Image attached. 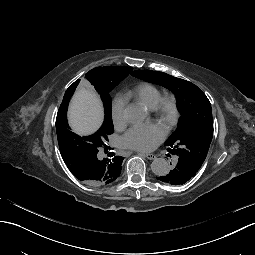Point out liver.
<instances>
[{"mask_svg":"<svg viewBox=\"0 0 255 255\" xmlns=\"http://www.w3.org/2000/svg\"><path fill=\"white\" fill-rule=\"evenodd\" d=\"M70 119L71 125L79 133L91 132L101 123V105L91 86H79L70 109Z\"/></svg>","mask_w":255,"mask_h":255,"instance_id":"1","label":"liver"}]
</instances>
